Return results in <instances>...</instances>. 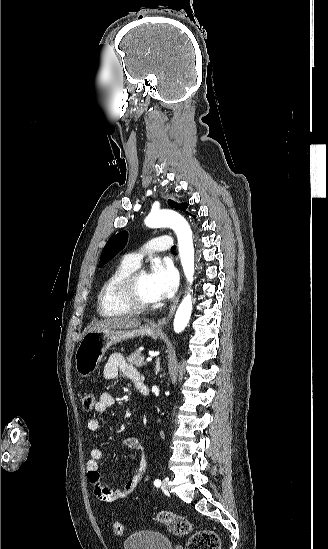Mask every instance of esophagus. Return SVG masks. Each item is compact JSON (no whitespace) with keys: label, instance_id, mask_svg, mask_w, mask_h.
<instances>
[{"label":"esophagus","instance_id":"obj_1","mask_svg":"<svg viewBox=\"0 0 328 549\" xmlns=\"http://www.w3.org/2000/svg\"><path fill=\"white\" fill-rule=\"evenodd\" d=\"M179 299H180V293L179 295L176 297L173 305L170 307V310H169V313H168V316L167 317H163L162 319H159L157 321V324L155 325V327L159 328L160 326L166 324V322H168L171 317L174 315V312H175V309L177 307V304L179 302Z\"/></svg>","mask_w":328,"mask_h":549}]
</instances>
